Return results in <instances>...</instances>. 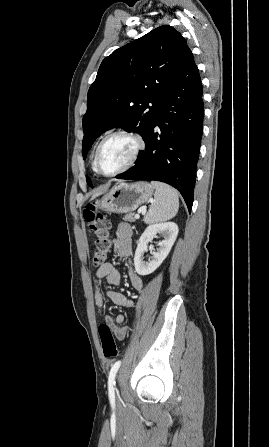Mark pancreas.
Returning <instances> with one entry per match:
<instances>
[{
    "mask_svg": "<svg viewBox=\"0 0 269 447\" xmlns=\"http://www.w3.org/2000/svg\"><path fill=\"white\" fill-rule=\"evenodd\" d=\"M134 214H126V216H124L123 220H125V222H135V218H133Z\"/></svg>",
    "mask_w": 269,
    "mask_h": 447,
    "instance_id": "pancreas-1",
    "label": "pancreas"
}]
</instances>
